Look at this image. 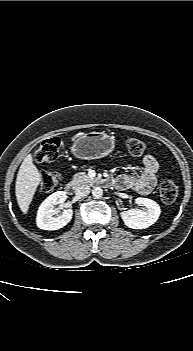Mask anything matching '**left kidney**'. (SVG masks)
I'll list each match as a JSON object with an SVG mask.
<instances>
[{"label":"left kidney","instance_id":"left-kidney-1","mask_svg":"<svg viewBox=\"0 0 193 351\" xmlns=\"http://www.w3.org/2000/svg\"><path fill=\"white\" fill-rule=\"evenodd\" d=\"M135 203L143 206L141 209L127 210L120 213L126 226L132 229H145L153 225L159 218L160 206L149 198L138 197Z\"/></svg>","mask_w":193,"mask_h":351}]
</instances>
